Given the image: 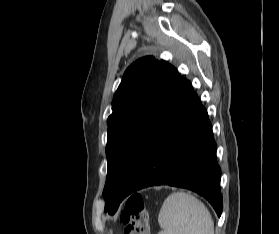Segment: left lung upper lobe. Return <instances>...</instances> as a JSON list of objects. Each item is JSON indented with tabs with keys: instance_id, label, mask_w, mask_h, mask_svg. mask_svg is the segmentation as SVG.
<instances>
[{
	"instance_id": "left-lung-upper-lobe-1",
	"label": "left lung upper lobe",
	"mask_w": 279,
	"mask_h": 234,
	"mask_svg": "<svg viewBox=\"0 0 279 234\" xmlns=\"http://www.w3.org/2000/svg\"><path fill=\"white\" fill-rule=\"evenodd\" d=\"M176 69L152 56L140 58L125 71L108 118L106 155L108 173L103 190L105 211L114 214L146 130Z\"/></svg>"
}]
</instances>
